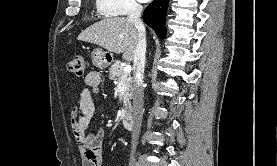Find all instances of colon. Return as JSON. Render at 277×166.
I'll use <instances>...</instances> for the list:
<instances>
[{"instance_id":"colon-1","label":"colon","mask_w":277,"mask_h":166,"mask_svg":"<svg viewBox=\"0 0 277 166\" xmlns=\"http://www.w3.org/2000/svg\"><path fill=\"white\" fill-rule=\"evenodd\" d=\"M69 70L76 76H82L85 71V60L81 55H76L69 62Z\"/></svg>"}]
</instances>
